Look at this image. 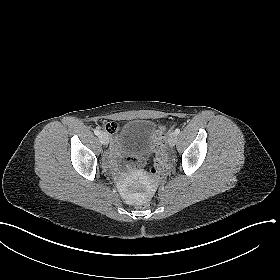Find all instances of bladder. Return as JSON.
<instances>
[{
    "label": "bladder",
    "instance_id": "1",
    "mask_svg": "<svg viewBox=\"0 0 280 280\" xmlns=\"http://www.w3.org/2000/svg\"><path fill=\"white\" fill-rule=\"evenodd\" d=\"M154 129L152 120L126 121L115 137L114 146L120 151L148 153L154 145Z\"/></svg>",
    "mask_w": 280,
    "mask_h": 280
}]
</instances>
